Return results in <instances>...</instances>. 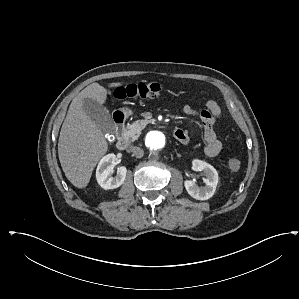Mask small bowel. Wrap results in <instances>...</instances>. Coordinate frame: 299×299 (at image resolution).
<instances>
[{
    "mask_svg": "<svg viewBox=\"0 0 299 299\" xmlns=\"http://www.w3.org/2000/svg\"><path fill=\"white\" fill-rule=\"evenodd\" d=\"M183 112L188 116H199L203 123L204 141H205V154L209 157L217 156L221 151V142L215 132L216 119L221 115V108L214 100H207L204 103V109L200 112L191 104H186ZM181 143L186 144L189 141L187 132L183 129H177Z\"/></svg>",
    "mask_w": 299,
    "mask_h": 299,
    "instance_id": "1",
    "label": "small bowel"
}]
</instances>
